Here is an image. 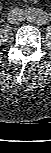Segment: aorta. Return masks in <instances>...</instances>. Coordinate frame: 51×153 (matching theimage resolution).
<instances>
[{"label":"aorta","instance_id":"762f6f07","mask_svg":"<svg viewBox=\"0 0 51 153\" xmlns=\"http://www.w3.org/2000/svg\"><path fill=\"white\" fill-rule=\"evenodd\" d=\"M29 20L32 22H38L41 24H46L49 21V16L43 11L39 10H30L29 11Z\"/></svg>","mask_w":51,"mask_h":153}]
</instances>
